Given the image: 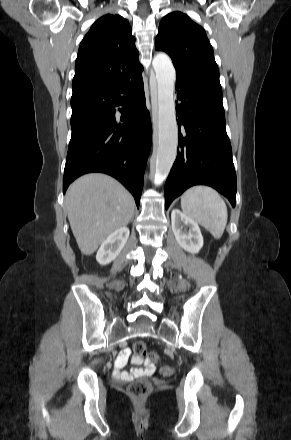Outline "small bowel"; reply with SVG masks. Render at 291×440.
Instances as JSON below:
<instances>
[{"instance_id":"1","label":"small bowel","mask_w":291,"mask_h":440,"mask_svg":"<svg viewBox=\"0 0 291 440\" xmlns=\"http://www.w3.org/2000/svg\"><path fill=\"white\" fill-rule=\"evenodd\" d=\"M130 357V350L128 348L124 349L118 356L115 362L114 374L116 377L121 379H127L129 377H140V376H151L155 372V365L149 360L135 359L132 358V363L136 365H142L141 367L133 368L129 372L122 371Z\"/></svg>"}]
</instances>
